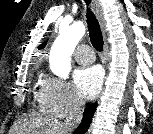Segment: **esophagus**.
Wrapping results in <instances>:
<instances>
[{"label":"esophagus","mask_w":153,"mask_h":134,"mask_svg":"<svg viewBox=\"0 0 153 134\" xmlns=\"http://www.w3.org/2000/svg\"><path fill=\"white\" fill-rule=\"evenodd\" d=\"M95 2V7H96V14H97V18L103 33V38H104V55H106L107 51H108V46L106 43V37H105V18H104V14H103V6L100 2V0H94Z\"/></svg>","instance_id":"esophagus-1"}]
</instances>
